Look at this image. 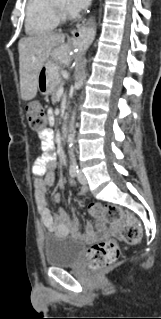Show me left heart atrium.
Masks as SVG:
<instances>
[{"label":"left heart atrium","mask_w":161,"mask_h":319,"mask_svg":"<svg viewBox=\"0 0 161 319\" xmlns=\"http://www.w3.org/2000/svg\"><path fill=\"white\" fill-rule=\"evenodd\" d=\"M90 0H67L65 8L71 14H77L85 9Z\"/></svg>","instance_id":"39dd6f15"}]
</instances>
